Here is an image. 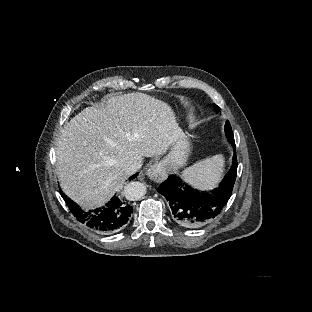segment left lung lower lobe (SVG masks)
<instances>
[{
  "mask_svg": "<svg viewBox=\"0 0 312 312\" xmlns=\"http://www.w3.org/2000/svg\"><path fill=\"white\" fill-rule=\"evenodd\" d=\"M233 166L220 186L210 192L198 191L175 175H170L157 189L169 202L171 219L185 228L200 229L221 212L229 200L237 175L235 142Z\"/></svg>",
  "mask_w": 312,
  "mask_h": 312,
  "instance_id": "1",
  "label": "left lung lower lobe"
}]
</instances>
